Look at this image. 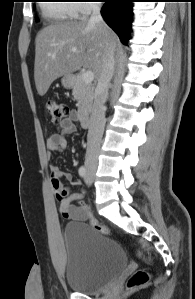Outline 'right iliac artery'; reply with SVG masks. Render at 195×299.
<instances>
[{
    "instance_id": "82829eb1",
    "label": "right iliac artery",
    "mask_w": 195,
    "mask_h": 299,
    "mask_svg": "<svg viewBox=\"0 0 195 299\" xmlns=\"http://www.w3.org/2000/svg\"><path fill=\"white\" fill-rule=\"evenodd\" d=\"M79 175L82 177V178H84L85 176H86V168H85V166H81L80 168H79Z\"/></svg>"
}]
</instances>
